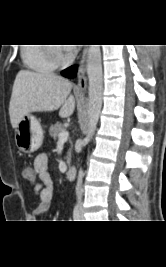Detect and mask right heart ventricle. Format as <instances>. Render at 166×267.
Returning a JSON list of instances; mask_svg holds the SVG:
<instances>
[{
	"instance_id": "right-heart-ventricle-1",
	"label": "right heart ventricle",
	"mask_w": 166,
	"mask_h": 267,
	"mask_svg": "<svg viewBox=\"0 0 166 267\" xmlns=\"http://www.w3.org/2000/svg\"><path fill=\"white\" fill-rule=\"evenodd\" d=\"M21 59L27 68L36 72L46 73L56 68V65L49 58L46 47L41 46V44L22 46Z\"/></svg>"
}]
</instances>
